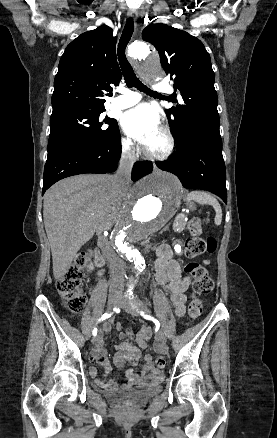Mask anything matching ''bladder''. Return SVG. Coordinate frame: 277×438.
I'll return each mask as SVG.
<instances>
[{"label":"bladder","mask_w":277,"mask_h":438,"mask_svg":"<svg viewBox=\"0 0 277 438\" xmlns=\"http://www.w3.org/2000/svg\"><path fill=\"white\" fill-rule=\"evenodd\" d=\"M159 384L160 380L158 379L156 382L150 381L145 388H139L137 390L127 392H119L115 396V402L117 404L133 403L140 405L151 396V393L154 391L155 387L159 386Z\"/></svg>","instance_id":"31cf9c89"}]
</instances>
